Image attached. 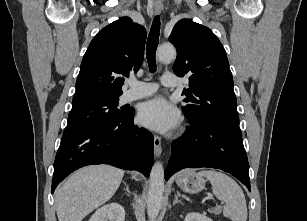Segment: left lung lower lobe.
Returning <instances> with one entry per match:
<instances>
[{"label": "left lung lower lobe", "instance_id": "left-lung-lower-lobe-1", "mask_svg": "<svg viewBox=\"0 0 307 221\" xmlns=\"http://www.w3.org/2000/svg\"><path fill=\"white\" fill-rule=\"evenodd\" d=\"M190 124L191 129L173 142L165 179L183 168L210 167L232 174L251 191L242 135L216 124Z\"/></svg>", "mask_w": 307, "mask_h": 221}]
</instances>
